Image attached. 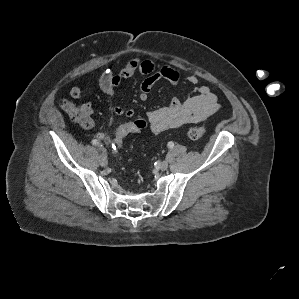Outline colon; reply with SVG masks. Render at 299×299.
Here are the masks:
<instances>
[{
	"label": "colon",
	"mask_w": 299,
	"mask_h": 299,
	"mask_svg": "<svg viewBox=\"0 0 299 299\" xmlns=\"http://www.w3.org/2000/svg\"><path fill=\"white\" fill-rule=\"evenodd\" d=\"M60 106L73 121L81 126L89 127L92 124L93 120L83 105L78 106L70 100H62ZM143 129V125L133 119L121 122L114 131L112 139L113 150L118 151L129 136L139 134ZM205 133L206 128L203 126H194L187 130V136L192 140L202 138Z\"/></svg>",
	"instance_id": "1"
}]
</instances>
